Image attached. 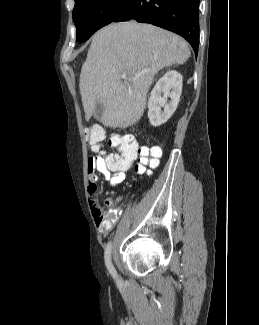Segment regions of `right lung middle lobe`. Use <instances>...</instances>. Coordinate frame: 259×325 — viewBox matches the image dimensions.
<instances>
[{
  "label": "right lung middle lobe",
  "instance_id": "obj_1",
  "mask_svg": "<svg viewBox=\"0 0 259 325\" xmlns=\"http://www.w3.org/2000/svg\"><path fill=\"white\" fill-rule=\"evenodd\" d=\"M126 0H75L73 20L80 43L103 26L110 24Z\"/></svg>",
  "mask_w": 259,
  "mask_h": 325
}]
</instances>
